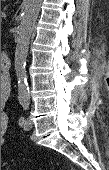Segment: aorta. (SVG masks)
Listing matches in <instances>:
<instances>
[{"instance_id":"aorta-1","label":"aorta","mask_w":109,"mask_h":170,"mask_svg":"<svg viewBox=\"0 0 109 170\" xmlns=\"http://www.w3.org/2000/svg\"><path fill=\"white\" fill-rule=\"evenodd\" d=\"M24 3L23 15L18 31L14 65L18 81V100L21 104H28L30 94L26 75V58L31 33L37 20L42 0H24Z\"/></svg>"}]
</instances>
